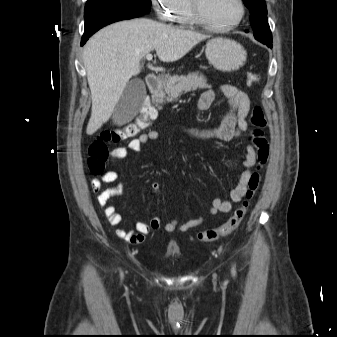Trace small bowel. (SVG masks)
Here are the masks:
<instances>
[{
	"mask_svg": "<svg viewBox=\"0 0 337 337\" xmlns=\"http://www.w3.org/2000/svg\"><path fill=\"white\" fill-rule=\"evenodd\" d=\"M219 92L228 100V110L225 113L221 123L211 128H193L182 126L178 132L180 135L201 142L211 141H230L238 138L242 132L248 129L247 116L250 111V101L248 96L233 85H222ZM215 91L208 89L201 93L197 102L196 109L199 111L208 110L214 100ZM159 138V133L150 130L131 139L126 146L113 147L109 152L112 160H120L127 156L129 150L140 151L142 146L149 141ZM256 164V150L249 145L246 149L243 166L235 187L230 192V201L221 198H214L211 207L208 210L210 216L219 213H226L232 209V203L240 202L246 194L248 180L252 174V168ZM119 181V174L116 171L109 170L98 178L91 181L92 191L97 193V204L104 208V214L112 226H118L122 222V215L117 211L115 206L110 203L113 196L121 194L125 191V184L118 183L116 186L103 189L104 184H113ZM150 189L154 194H158L161 186L158 182H153ZM203 223V218L198 217L190 219L187 222L180 223L178 219H172L164 226L166 232H174L176 230L186 232L196 228ZM161 220L159 216H153L149 221H138L134 224V229L119 228L116 230L117 236L123 238L131 244H140L145 241L146 236L153 231L160 229Z\"/></svg>",
	"mask_w": 337,
	"mask_h": 337,
	"instance_id": "small-bowel-1",
	"label": "small bowel"
}]
</instances>
